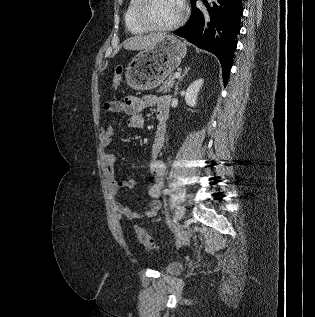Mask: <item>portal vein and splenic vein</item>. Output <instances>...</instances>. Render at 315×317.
I'll return each mask as SVG.
<instances>
[{"instance_id": "18ae733b", "label": "portal vein and splenic vein", "mask_w": 315, "mask_h": 317, "mask_svg": "<svg viewBox=\"0 0 315 317\" xmlns=\"http://www.w3.org/2000/svg\"><path fill=\"white\" fill-rule=\"evenodd\" d=\"M179 77H180V73H179V72H176V73L174 74V78L177 79V78H179Z\"/></svg>"}]
</instances>
